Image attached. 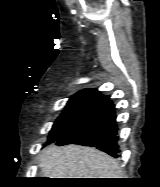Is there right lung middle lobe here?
I'll return each instance as SVG.
<instances>
[{
    "label": "right lung middle lobe",
    "instance_id": "right-lung-middle-lobe-1",
    "mask_svg": "<svg viewBox=\"0 0 160 187\" xmlns=\"http://www.w3.org/2000/svg\"><path fill=\"white\" fill-rule=\"evenodd\" d=\"M95 105H67L55 121L48 143L56 142L83 124L96 110Z\"/></svg>",
    "mask_w": 160,
    "mask_h": 187
}]
</instances>
